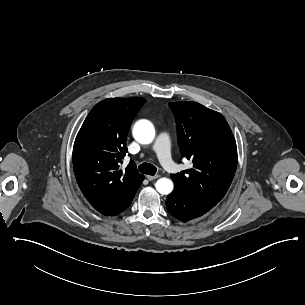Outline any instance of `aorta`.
<instances>
[{
    "instance_id": "1",
    "label": "aorta",
    "mask_w": 305,
    "mask_h": 305,
    "mask_svg": "<svg viewBox=\"0 0 305 305\" xmlns=\"http://www.w3.org/2000/svg\"><path fill=\"white\" fill-rule=\"evenodd\" d=\"M133 137L140 144H150L155 137V129L153 124L148 120H139L133 127ZM156 190L162 195L170 194L174 189L171 179L160 178L155 184Z\"/></svg>"
}]
</instances>
